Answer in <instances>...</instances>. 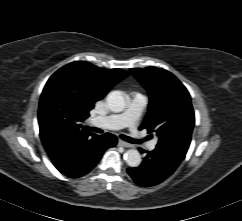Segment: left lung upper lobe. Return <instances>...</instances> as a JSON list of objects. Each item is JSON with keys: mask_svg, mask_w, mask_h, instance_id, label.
Here are the masks:
<instances>
[{"mask_svg": "<svg viewBox=\"0 0 242 221\" xmlns=\"http://www.w3.org/2000/svg\"><path fill=\"white\" fill-rule=\"evenodd\" d=\"M146 88L149 110L140 129L158 138L157 147L185 157L195 124L191 97L184 85L169 71L156 68L130 69Z\"/></svg>", "mask_w": 242, "mask_h": 221, "instance_id": "obj_1", "label": "left lung upper lobe"}]
</instances>
